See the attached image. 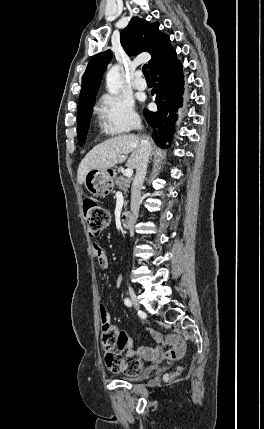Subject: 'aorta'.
I'll return each mask as SVG.
<instances>
[{"instance_id": "1", "label": "aorta", "mask_w": 264, "mask_h": 429, "mask_svg": "<svg viewBox=\"0 0 264 429\" xmlns=\"http://www.w3.org/2000/svg\"><path fill=\"white\" fill-rule=\"evenodd\" d=\"M123 85L120 68L113 66L106 74V88L110 94H118Z\"/></svg>"}]
</instances>
